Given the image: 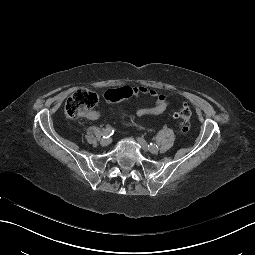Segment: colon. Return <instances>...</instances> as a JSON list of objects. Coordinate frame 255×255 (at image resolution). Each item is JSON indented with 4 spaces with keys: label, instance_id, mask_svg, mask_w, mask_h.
<instances>
[{
    "label": "colon",
    "instance_id": "1",
    "mask_svg": "<svg viewBox=\"0 0 255 255\" xmlns=\"http://www.w3.org/2000/svg\"><path fill=\"white\" fill-rule=\"evenodd\" d=\"M134 89L130 87H122L111 89L105 93V98L109 102L115 103L122 99L132 96ZM98 103L96 93L87 90L79 89L75 91L65 103V114L69 118L82 117L90 112ZM174 118L178 120L181 130L186 132L191 125V110L188 105L184 104L174 112Z\"/></svg>",
    "mask_w": 255,
    "mask_h": 255
}]
</instances>
